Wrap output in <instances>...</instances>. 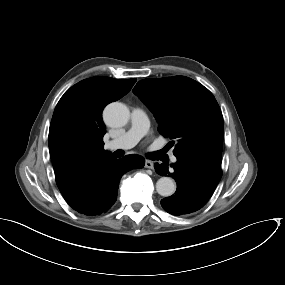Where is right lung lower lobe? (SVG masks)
Masks as SVG:
<instances>
[{"instance_id": "obj_1", "label": "right lung lower lobe", "mask_w": 285, "mask_h": 285, "mask_svg": "<svg viewBox=\"0 0 285 285\" xmlns=\"http://www.w3.org/2000/svg\"><path fill=\"white\" fill-rule=\"evenodd\" d=\"M145 159L139 155L112 156L93 164L69 186L60 191L76 212L97 216L106 212L116 201L120 178L131 169L143 168Z\"/></svg>"}]
</instances>
